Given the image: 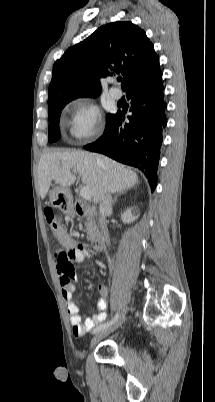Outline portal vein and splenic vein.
Instances as JSON below:
<instances>
[{
	"instance_id": "portal-vein-and-splenic-vein-1",
	"label": "portal vein and splenic vein",
	"mask_w": 215,
	"mask_h": 402,
	"mask_svg": "<svg viewBox=\"0 0 215 402\" xmlns=\"http://www.w3.org/2000/svg\"><path fill=\"white\" fill-rule=\"evenodd\" d=\"M80 195L84 200H91V191L87 186L81 188Z\"/></svg>"
}]
</instances>
